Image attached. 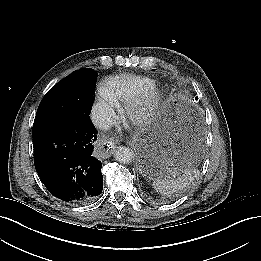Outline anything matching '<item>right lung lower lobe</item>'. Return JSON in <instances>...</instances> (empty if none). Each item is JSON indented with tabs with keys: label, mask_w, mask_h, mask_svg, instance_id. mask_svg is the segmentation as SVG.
Here are the masks:
<instances>
[{
	"label": "right lung lower lobe",
	"mask_w": 261,
	"mask_h": 261,
	"mask_svg": "<svg viewBox=\"0 0 261 261\" xmlns=\"http://www.w3.org/2000/svg\"><path fill=\"white\" fill-rule=\"evenodd\" d=\"M32 136L36 171L52 195L76 204L102 193V164L93 152L97 130L89 115L33 129Z\"/></svg>",
	"instance_id": "1"
}]
</instances>
